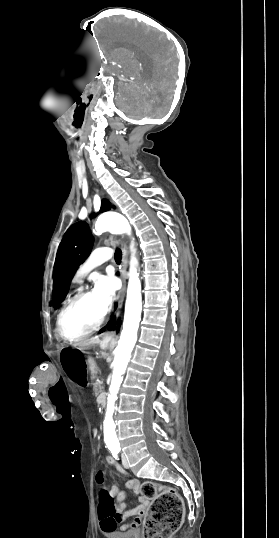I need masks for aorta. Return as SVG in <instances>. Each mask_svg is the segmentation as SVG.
I'll return each mask as SVG.
<instances>
[{"label": "aorta", "instance_id": "obj_1", "mask_svg": "<svg viewBox=\"0 0 279 538\" xmlns=\"http://www.w3.org/2000/svg\"><path fill=\"white\" fill-rule=\"evenodd\" d=\"M96 234L100 235L103 232L110 231L114 234H122L131 232V227L128 220L118 213H107L101 215L95 223ZM133 248V244L131 245ZM135 250H133L134 252ZM138 264L134 253L130 260L129 281L127 288V297L125 303V313L123 321V329L115 350V359L113 361V373L111 384L109 387V395L107 399L106 416L104 420V440L107 447L111 450L119 448V441L115 431L113 421L114 404L117 399V394L122 383V375L124 374L128 362L131 357V352L137 341V331L141 319L142 296L141 282L137 273L136 265Z\"/></svg>", "mask_w": 279, "mask_h": 538}]
</instances>
